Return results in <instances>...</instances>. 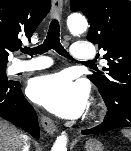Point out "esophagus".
Instances as JSON below:
<instances>
[{
  "instance_id": "obj_1",
  "label": "esophagus",
  "mask_w": 131,
  "mask_h": 151,
  "mask_svg": "<svg viewBox=\"0 0 131 151\" xmlns=\"http://www.w3.org/2000/svg\"><path fill=\"white\" fill-rule=\"evenodd\" d=\"M62 11H63V1L62 0H52V14L53 17L57 18L59 21H61L62 18ZM41 124L45 132H47L49 135H53L57 127L53 120H51L49 117L42 115L41 118Z\"/></svg>"
}]
</instances>
